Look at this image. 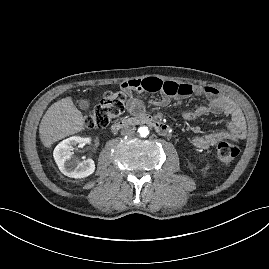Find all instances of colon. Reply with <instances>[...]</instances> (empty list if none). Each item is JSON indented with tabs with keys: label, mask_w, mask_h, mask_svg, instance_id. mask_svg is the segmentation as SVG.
I'll return each instance as SVG.
<instances>
[{
	"label": "colon",
	"mask_w": 269,
	"mask_h": 269,
	"mask_svg": "<svg viewBox=\"0 0 269 269\" xmlns=\"http://www.w3.org/2000/svg\"><path fill=\"white\" fill-rule=\"evenodd\" d=\"M128 93V90L124 88L117 91H107L100 103L94 107L91 113L86 115V127L96 129L108 126L124 111ZM239 152V146L228 140L221 141L217 146L218 160L226 165L230 164L239 155Z\"/></svg>",
	"instance_id": "5ec220e1"
}]
</instances>
